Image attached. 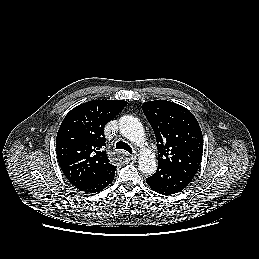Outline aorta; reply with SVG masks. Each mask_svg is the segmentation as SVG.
<instances>
[{
    "instance_id": "obj_1",
    "label": "aorta",
    "mask_w": 259,
    "mask_h": 259,
    "mask_svg": "<svg viewBox=\"0 0 259 259\" xmlns=\"http://www.w3.org/2000/svg\"><path fill=\"white\" fill-rule=\"evenodd\" d=\"M120 133L128 140L140 144L145 141V133L142 123L138 118L124 115L119 120ZM139 170L147 175H152L157 169L155 157L150 151H143L138 160Z\"/></svg>"
}]
</instances>
